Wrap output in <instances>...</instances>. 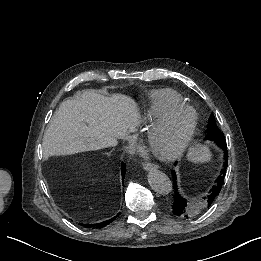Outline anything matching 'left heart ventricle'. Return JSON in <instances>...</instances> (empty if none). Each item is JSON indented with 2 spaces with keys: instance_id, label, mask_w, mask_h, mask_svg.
<instances>
[{
  "instance_id": "left-heart-ventricle-1",
  "label": "left heart ventricle",
  "mask_w": 261,
  "mask_h": 261,
  "mask_svg": "<svg viewBox=\"0 0 261 261\" xmlns=\"http://www.w3.org/2000/svg\"><path fill=\"white\" fill-rule=\"evenodd\" d=\"M189 124V115L175 112L154 125L147 137L151 151L166 154L176 150L184 140Z\"/></svg>"
}]
</instances>
